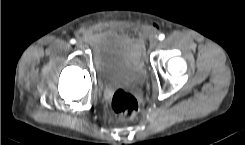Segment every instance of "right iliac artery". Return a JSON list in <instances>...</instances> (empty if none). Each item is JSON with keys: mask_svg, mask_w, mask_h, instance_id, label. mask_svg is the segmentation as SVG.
Listing matches in <instances>:
<instances>
[{"mask_svg": "<svg viewBox=\"0 0 245 145\" xmlns=\"http://www.w3.org/2000/svg\"><path fill=\"white\" fill-rule=\"evenodd\" d=\"M70 42H71L72 44H75V43H76V40H75V39H71Z\"/></svg>", "mask_w": 245, "mask_h": 145, "instance_id": "right-iliac-artery-1", "label": "right iliac artery"}]
</instances>
